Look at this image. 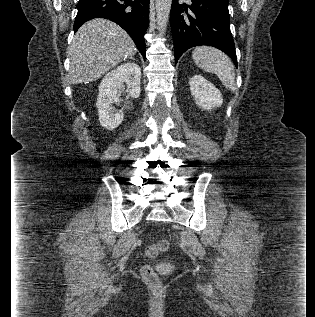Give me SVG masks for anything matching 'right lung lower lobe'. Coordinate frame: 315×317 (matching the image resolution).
Listing matches in <instances>:
<instances>
[{"label":"right lung lower lobe","instance_id":"obj_1","mask_svg":"<svg viewBox=\"0 0 315 317\" xmlns=\"http://www.w3.org/2000/svg\"><path fill=\"white\" fill-rule=\"evenodd\" d=\"M74 31L93 18H107L121 26L146 58L144 34L149 24V0H80Z\"/></svg>","mask_w":315,"mask_h":317}]
</instances>
